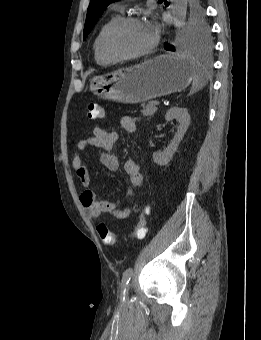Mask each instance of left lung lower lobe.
Here are the masks:
<instances>
[{"label": "left lung lower lobe", "mask_w": 261, "mask_h": 340, "mask_svg": "<svg viewBox=\"0 0 261 340\" xmlns=\"http://www.w3.org/2000/svg\"><path fill=\"white\" fill-rule=\"evenodd\" d=\"M164 48L169 51H175L174 46L169 45L168 43H164Z\"/></svg>", "instance_id": "0a47b994"}]
</instances>
